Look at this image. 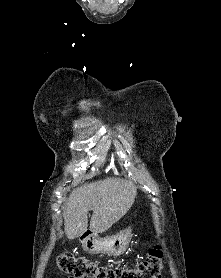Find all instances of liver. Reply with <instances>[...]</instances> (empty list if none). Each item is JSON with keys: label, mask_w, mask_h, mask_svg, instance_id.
Instances as JSON below:
<instances>
[{"label": "liver", "mask_w": 221, "mask_h": 278, "mask_svg": "<svg viewBox=\"0 0 221 278\" xmlns=\"http://www.w3.org/2000/svg\"><path fill=\"white\" fill-rule=\"evenodd\" d=\"M136 195L132 181L114 177L74 189L63 212L67 237L74 239L87 231L90 210V230L96 234L107 231L130 210Z\"/></svg>", "instance_id": "6515ba94"}]
</instances>
